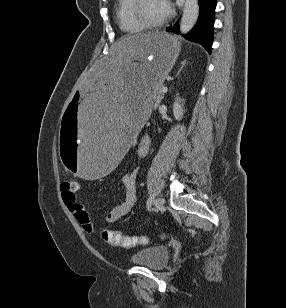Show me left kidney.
Instances as JSON below:
<instances>
[{
  "label": "left kidney",
  "mask_w": 286,
  "mask_h": 308,
  "mask_svg": "<svg viewBox=\"0 0 286 308\" xmlns=\"http://www.w3.org/2000/svg\"><path fill=\"white\" fill-rule=\"evenodd\" d=\"M182 100L176 99L173 104V114L176 120H181L184 114L183 103L181 104Z\"/></svg>",
  "instance_id": "1"
}]
</instances>
